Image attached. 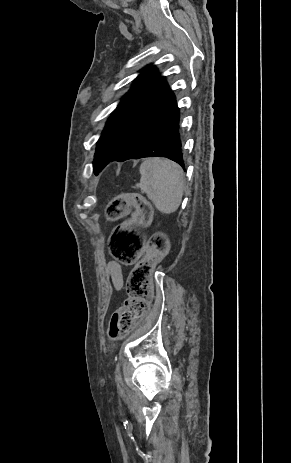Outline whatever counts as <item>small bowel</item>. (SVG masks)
<instances>
[{
    "label": "small bowel",
    "instance_id": "1",
    "mask_svg": "<svg viewBox=\"0 0 291 463\" xmlns=\"http://www.w3.org/2000/svg\"><path fill=\"white\" fill-rule=\"evenodd\" d=\"M106 273L110 278L113 287L116 290H121L124 283L121 265L114 261L109 262L106 267Z\"/></svg>",
    "mask_w": 291,
    "mask_h": 463
}]
</instances>
